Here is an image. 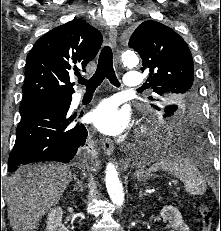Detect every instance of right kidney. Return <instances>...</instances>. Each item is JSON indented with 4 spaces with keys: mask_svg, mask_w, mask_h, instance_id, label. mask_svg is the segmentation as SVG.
<instances>
[{
    "mask_svg": "<svg viewBox=\"0 0 221 231\" xmlns=\"http://www.w3.org/2000/svg\"><path fill=\"white\" fill-rule=\"evenodd\" d=\"M63 210L53 208L48 214L46 231H69L62 223Z\"/></svg>",
    "mask_w": 221,
    "mask_h": 231,
    "instance_id": "obj_1",
    "label": "right kidney"
}]
</instances>
